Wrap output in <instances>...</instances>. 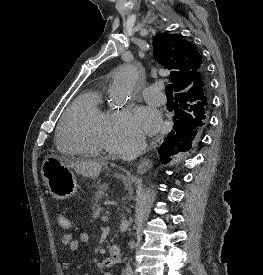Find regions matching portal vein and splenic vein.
I'll use <instances>...</instances> for the list:
<instances>
[{
  "label": "portal vein and splenic vein",
  "mask_w": 263,
  "mask_h": 275,
  "mask_svg": "<svg viewBox=\"0 0 263 275\" xmlns=\"http://www.w3.org/2000/svg\"><path fill=\"white\" fill-rule=\"evenodd\" d=\"M102 220H103V221H108V217H107V216H103V217H102Z\"/></svg>",
  "instance_id": "portal-vein-and-splenic-vein-1"
}]
</instances>
